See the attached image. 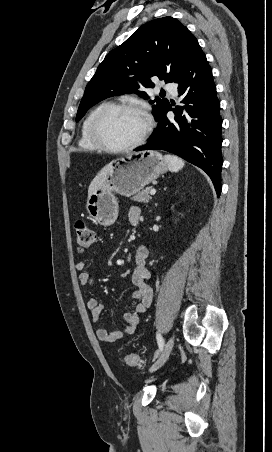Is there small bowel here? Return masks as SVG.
<instances>
[{
	"instance_id": "small-bowel-1",
	"label": "small bowel",
	"mask_w": 272,
	"mask_h": 452,
	"mask_svg": "<svg viewBox=\"0 0 272 452\" xmlns=\"http://www.w3.org/2000/svg\"><path fill=\"white\" fill-rule=\"evenodd\" d=\"M141 211L137 206H131L128 209V220L131 225L136 226L140 221ZM148 258V250L144 246H139L135 253V268L132 273L131 281L134 290L131 294L132 300H140L141 302L133 308H130L123 316V326L116 331H107L103 327L96 328V336L102 342H116L117 340L131 335L137 329L140 322V315L144 313L150 306L153 291L148 285L147 280L150 278V271L146 263ZM76 269L79 273V282L85 286H91L95 277L86 270L84 262H78ZM87 308L90 312L93 323L98 324L101 318L102 305L95 299L91 298L87 302Z\"/></svg>"
}]
</instances>
